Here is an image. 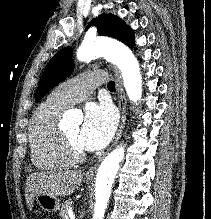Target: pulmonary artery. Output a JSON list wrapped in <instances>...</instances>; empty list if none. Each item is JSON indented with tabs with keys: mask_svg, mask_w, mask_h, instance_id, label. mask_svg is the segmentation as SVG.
Segmentation results:
<instances>
[{
	"mask_svg": "<svg viewBox=\"0 0 211 219\" xmlns=\"http://www.w3.org/2000/svg\"><path fill=\"white\" fill-rule=\"evenodd\" d=\"M102 71L83 72L58 86L49 96V99L65 108L86 98L97 85L106 80Z\"/></svg>",
	"mask_w": 211,
	"mask_h": 219,
	"instance_id": "1",
	"label": "pulmonary artery"
}]
</instances>
